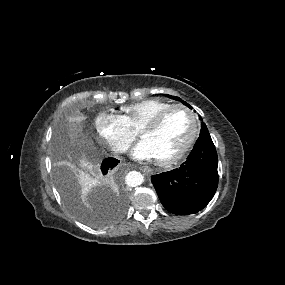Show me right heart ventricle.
<instances>
[{
  "label": "right heart ventricle",
  "mask_w": 285,
  "mask_h": 285,
  "mask_svg": "<svg viewBox=\"0 0 285 285\" xmlns=\"http://www.w3.org/2000/svg\"><path fill=\"white\" fill-rule=\"evenodd\" d=\"M172 105L163 99L150 98L124 107L120 117L130 129H136Z\"/></svg>",
  "instance_id": "right-heart-ventricle-1"
}]
</instances>
